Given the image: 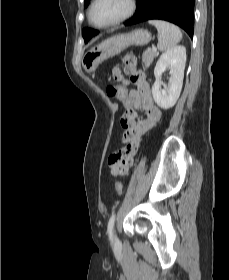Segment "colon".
Returning a JSON list of instances; mask_svg holds the SVG:
<instances>
[{
  "mask_svg": "<svg viewBox=\"0 0 229 280\" xmlns=\"http://www.w3.org/2000/svg\"><path fill=\"white\" fill-rule=\"evenodd\" d=\"M124 64V72L129 76L132 82H138L142 77L143 73L135 65V58L127 54L122 59ZM131 116L123 115L121 123L123 127H128L131 124ZM108 164L113 169L114 172L118 174H123L126 172L129 160L126 158V152L123 150H118L110 154L108 158ZM115 190L118 194H122L123 186L120 182L115 184Z\"/></svg>",
  "mask_w": 229,
  "mask_h": 280,
  "instance_id": "1",
  "label": "colon"
}]
</instances>
